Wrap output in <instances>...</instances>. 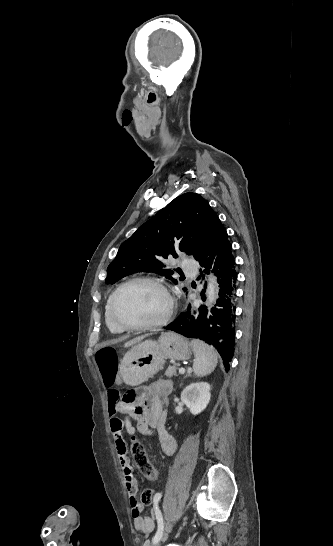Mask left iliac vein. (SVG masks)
<instances>
[{"instance_id":"obj_1","label":"left iliac vein","mask_w":333,"mask_h":546,"mask_svg":"<svg viewBox=\"0 0 333 546\" xmlns=\"http://www.w3.org/2000/svg\"><path fill=\"white\" fill-rule=\"evenodd\" d=\"M167 532L169 530V527H167ZM167 538V533H165L162 537H161V540H159L157 543H154L153 546H161V541H164L165 539Z\"/></svg>"}]
</instances>
